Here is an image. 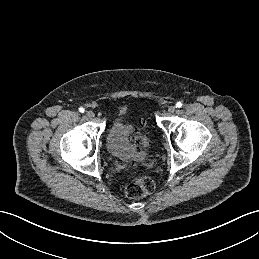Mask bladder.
<instances>
[{
    "label": "bladder",
    "instance_id": "31cf9c89",
    "mask_svg": "<svg viewBox=\"0 0 259 259\" xmlns=\"http://www.w3.org/2000/svg\"><path fill=\"white\" fill-rule=\"evenodd\" d=\"M139 140L141 135L128 121L126 112L119 111L106 134V148L109 154L122 160H143L146 153L139 148Z\"/></svg>",
    "mask_w": 259,
    "mask_h": 259
}]
</instances>
